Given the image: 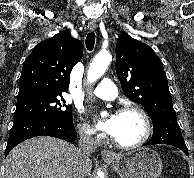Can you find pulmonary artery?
Returning <instances> with one entry per match:
<instances>
[{"instance_id":"e3ab8cb5","label":"pulmonary artery","mask_w":194,"mask_h":178,"mask_svg":"<svg viewBox=\"0 0 194 178\" xmlns=\"http://www.w3.org/2000/svg\"><path fill=\"white\" fill-rule=\"evenodd\" d=\"M117 88L111 79H103L93 94L103 100H113L117 96Z\"/></svg>"}]
</instances>
